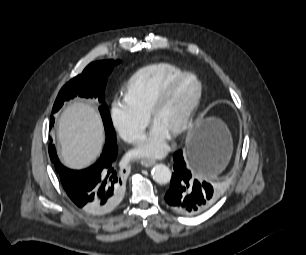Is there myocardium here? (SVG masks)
Instances as JSON below:
<instances>
[{
	"label": "myocardium",
	"instance_id": "f54148a6",
	"mask_svg": "<svg viewBox=\"0 0 306 255\" xmlns=\"http://www.w3.org/2000/svg\"><path fill=\"white\" fill-rule=\"evenodd\" d=\"M187 79H193L197 84V93L190 104L184 118L180 122L178 126H176L171 134L173 136H178L182 133H184L186 130L189 129L191 126L193 119L197 113V110L200 106L202 97H203V85L201 80L198 78V76L191 72H185L176 79H174L172 82H170L163 90L162 92L156 97L154 102L152 103L149 111H148V118L151 123H154L155 117L158 114V112L161 110V108L166 104V102L169 100V98L173 95V93L177 90V88Z\"/></svg>",
	"mask_w": 306,
	"mask_h": 255
}]
</instances>
